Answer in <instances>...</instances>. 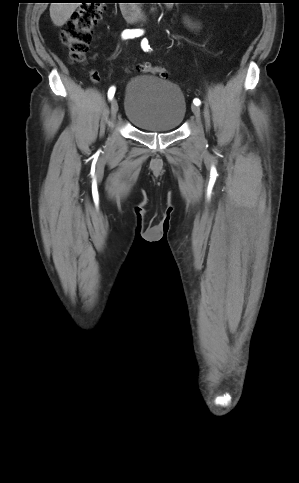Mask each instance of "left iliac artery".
<instances>
[{
    "label": "left iliac artery",
    "mask_w": 299,
    "mask_h": 483,
    "mask_svg": "<svg viewBox=\"0 0 299 483\" xmlns=\"http://www.w3.org/2000/svg\"><path fill=\"white\" fill-rule=\"evenodd\" d=\"M141 47H142V49H143L144 51H149L150 46H149V44H148V40H147L146 38H144V39L141 41ZM193 103H194L195 105H197V106H199V105L201 104L200 100H199V99H197V98H195V99L193 100Z\"/></svg>",
    "instance_id": "1"
}]
</instances>
